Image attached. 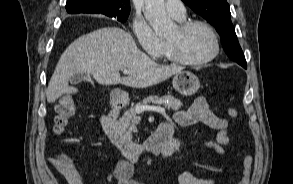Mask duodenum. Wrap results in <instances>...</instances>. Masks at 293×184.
Instances as JSON below:
<instances>
[{
  "mask_svg": "<svg viewBox=\"0 0 293 184\" xmlns=\"http://www.w3.org/2000/svg\"><path fill=\"white\" fill-rule=\"evenodd\" d=\"M123 94L115 93L110 98L111 111L101 117L103 132L109 141L128 160L137 161L145 154H167L174 150L172 126L163 122L158 125L155 132L143 143H136L125 137L116 127V117L120 109L126 104Z\"/></svg>",
  "mask_w": 293,
  "mask_h": 184,
  "instance_id": "duodenum-1",
  "label": "duodenum"
}]
</instances>
